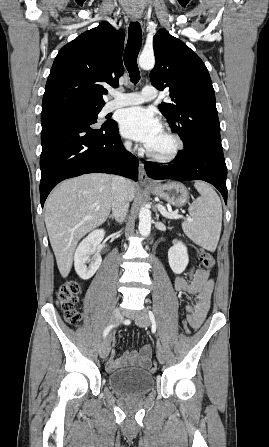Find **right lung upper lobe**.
Masks as SVG:
<instances>
[{"mask_svg": "<svg viewBox=\"0 0 269 447\" xmlns=\"http://www.w3.org/2000/svg\"><path fill=\"white\" fill-rule=\"evenodd\" d=\"M124 33L108 22L84 32L56 56L48 77L42 111L78 104L104 105V84L118 86L124 73Z\"/></svg>", "mask_w": 269, "mask_h": 447, "instance_id": "obj_1", "label": "right lung upper lobe"}]
</instances>
